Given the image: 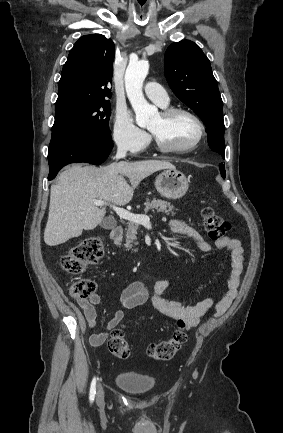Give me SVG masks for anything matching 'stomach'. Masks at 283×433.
<instances>
[{"instance_id":"stomach-1","label":"stomach","mask_w":283,"mask_h":433,"mask_svg":"<svg viewBox=\"0 0 283 433\" xmlns=\"http://www.w3.org/2000/svg\"><path fill=\"white\" fill-rule=\"evenodd\" d=\"M155 186L166 198H181L189 188V182L180 170H164L156 176Z\"/></svg>"}]
</instances>
